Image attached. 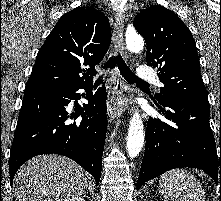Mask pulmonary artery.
Returning a JSON list of instances; mask_svg holds the SVG:
<instances>
[{
  "mask_svg": "<svg viewBox=\"0 0 221 201\" xmlns=\"http://www.w3.org/2000/svg\"><path fill=\"white\" fill-rule=\"evenodd\" d=\"M137 76L142 81L155 82L158 86L162 85L158 79L156 72L150 67L140 66L137 69Z\"/></svg>",
  "mask_w": 221,
  "mask_h": 201,
  "instance_id": "obj_1",
  "label": "pulmonary artery"
}]
</instances>
